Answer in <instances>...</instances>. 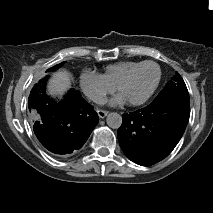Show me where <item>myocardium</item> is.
Instances as JSON below:
<instances>
[{"label": "myocardium", "instance_id": "myocardium-1", "mask_svg": "<svg viewBox=\"0 0 213 213\" xmlns=\"http://www.w3.org/2000/svg\"><path fill=\"white\" fill-rule=\"evenodd\" d=\"M146 65H151L153 67L156 68L157 70V76H156V80H155V83L152 87V89L150 90V92L145 96L143 97L142 99L140 100H137V101H127V103L130 105V106H140L144 103H146L155 93V91L157 90L158 86H159V83H160V80H161V76H162V71H161V68L160 66L153 62V61H143V62H140L139 64H137L136 66H134L133 68H131L120 80L119 82L117 83L116 85V90L119 92L120 89L122 88V86L131 78V76L138 70L140 69L141 67L143 66H146Z\"/></svg>", "mask_w": 213, "mask_h": 213}]
</instances>
